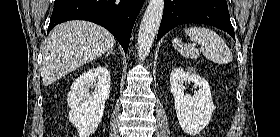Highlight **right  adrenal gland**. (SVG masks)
I'll list each match as a JSON object with an SVG mask.
<instances>
[{
  "label": "right adrenal gland",
  "instance_id": "1",
  "mask_svg": "<svg viewBox=\"0 0 280 137\" xmlns=\"http://www.w3.org/2000/svg\"><path fill=\"white\" fill-rule=\"evenodd\" d=\"M108 54H113V55H115V53L113 52V49H110L109 52H108Z\"/></svg>",
  "mask_w": 280,
  "mask_h": 137
}]
</instances>
